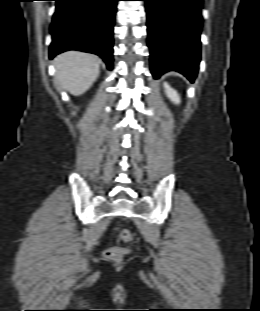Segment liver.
<instances>
[{
	"label": "liver",
	"mask_w": 260,
	"mask_h": 311,
	"mask_svg": "<svg viewBox=\"0 0 260 311\" xmlns=\"http://www.w3.org/2000/svg\"><path fill=\"white\" fill-rule=\"evenodd\" d=\"M54 63L57 67V84L75 96L85 93L100 73L98 57L80 51L62 53Z\"/></svg>",
	"instance_id": "1"
}]
</instances>
